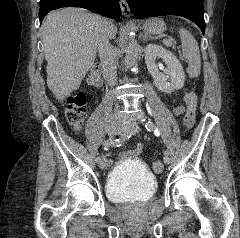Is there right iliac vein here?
<instances>
[{
	"label": "right iliac vein",
	"instance_id": "obj_1",
	"mask_svg": "<svg viewBox=\"0 0 240 238\" xmlns=\"http://www.w3.org/2000/svg\"><path fill=\"white\" fill-rule=\"evenodd\" d=\"M123 132V126L116 120L111 121L109 127H108V135L110 138L115 136L116 134H120ZM107 163V160L105 157H102L99 161V167L101 169L105 168Z\"/></svg>",
	"mask_w": 240,
	"mask_h": 238
}]
</instances>
